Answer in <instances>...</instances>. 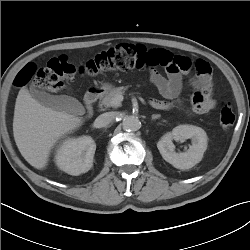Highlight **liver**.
<instances>
[{"label": "liver", "mask_w": 250, "mask_h": 250, "mask_svg": "<svg viewBox=\"0 0 250 250\" xmlns=\"http://www.w3.org/2000/svg\"><path fill=\"white\" fill-rule=\"evenodd\" d=\"M82 124L83 120L79 117L42 105L26 88L19 91L13 135L21 155L33 167L45 168L57 141Z\"/></svg>", "instance_id": "obj_1"}]
</instances>
